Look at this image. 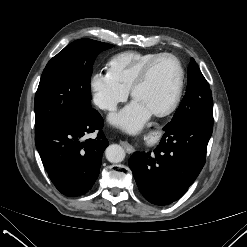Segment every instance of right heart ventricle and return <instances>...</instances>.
<instances>
[{"label": "right heart ventricle", "instance_id": "obj_1", "mask_svg": "<svg viewBox=\"0 0 247 247\" xmlns=\"http://www.w3.org/2000/svg\"><path fill=\"white\" fill-rule=\"evenodd\" d=\"M158 53L126 51L114 56L108 63V71L113 78L127 90L141 69Z\"/></svg>", "mask_w": 247, "mask_h": 247}]
</instances>
